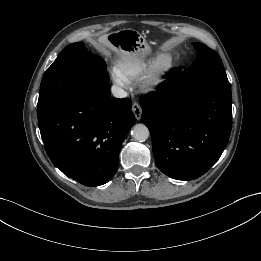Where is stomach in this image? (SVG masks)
<instances>
[{
  "mask_svg": "<svg viewBox=\"0 0 261 261\" xmlns=\"http://www.w3.org/2000/svg\"><path fill=\"white\" fill-rule=\"evenodd\" d=\"M108 41L125 55L137 59L151 50L142 34L134 29H122L107 35Z\"/></svg>",
  "mask_w": 261,
  "mask_h": 261,
  "instance_id": "obj_1",
  "label": "stomach"
}]
</instances>
